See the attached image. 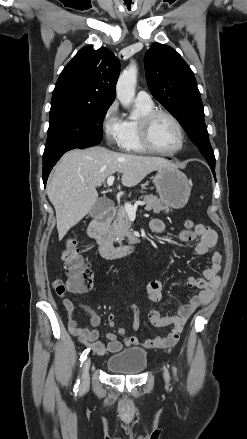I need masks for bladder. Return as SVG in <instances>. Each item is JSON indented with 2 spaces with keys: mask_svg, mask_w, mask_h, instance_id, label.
Instances as JSON below:
<instances>
[{
  "mask_svg": "<svg viewBox=\"0 0 247 439\" xmlns=\"http://www.w3.org/2000/svg\"><path fill=\"white\" fill-rule=\"evenodd\" d=\"M147 367V352L141 347H131L111 355L106 360L108 371L122 375H137Z\"/></svg>",
  "mask_w": 247,
  "mask_h": 439,
  "instance_id": "obj_1",
  "label": "bladder"
}]
</instances>
